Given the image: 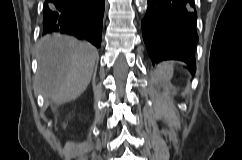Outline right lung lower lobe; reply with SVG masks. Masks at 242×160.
I'll return each mask as SVG.
<instances>
[{"mask_svg": "<svg viewBox=\"0 0 242 160\" xmlns=\"http://www.w3.org/2000/svg\"><path fill=\"white\" fill-rule=\"evenodd\" d=\"M105 0H46L42 34L63 33L101 44Z\"/></svg>", "mask_w": 242, "mask_h": 160, "instance_id": "98d812e1", "label": "right lung lower lobe"}]
</instances>
